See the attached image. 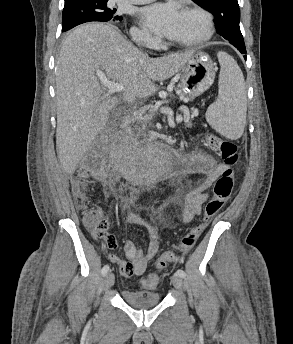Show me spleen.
Listing matches in <instances>:
<instances>
[{"label": "spleen", "mask_w": 293, "mask_h": 344, "mask_svg": "<svg viewBox=\"0 0 293 344\" xmlns=\"http://www.w3.org/2000/svg\"><path fill=\"white\" fill-rule=\"evenodd\" d=\"M221 65L219 94L206 111V120L219 134L235 140L242 136L246 124V88L243 73L229 54L218 52Z\"/></svg>", "instance_id": "spleen-1"}]
</instances>
